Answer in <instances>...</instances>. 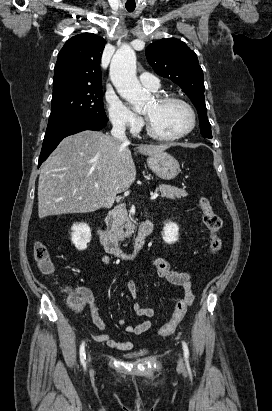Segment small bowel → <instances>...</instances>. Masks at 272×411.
I'll use <instances>...</instances> for the list:
<instances>
[{"label": "small bowel", "mask_w": 272, "mask_h": 411, "mask_svg": "<svg viewBox=\"0 0 272 411\" xmlns=\"http://www.w3.org/2000/svg\"><path fill=\"white\" fill-rule=\"evenodd\" d=\"M103 262L108 264L110 262L108 256L103 257ZM150 267L155 271L156 275L183 289L184 295L191 298V303L194 301V295L192 292V274L189 271H179L172 266L165 258L157 257L149 261ZM129 293L133 299L138 298L135 282L130 279L127 282ZM88 304L91 313L93 324L100 331L98 334H92V339L97 342H104L111 348L118 349L120 351H129L133 349L134 342L132 340L119 341L113 339L109 334L105 332L106 324L99 314V310L96 307L93 298L88 297ZM133 312L136 316L152 318L155 315V310L152 307H145L140 303L133 305ZM117 324L124 326L126 324L125 318H119ZM153 327V323L150 320H145L136 325H127L126 332L132 335H142Z\"/></svg>", "instance_id": "c3829d8e"}]
</instances>
